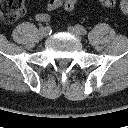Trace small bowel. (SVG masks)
<instances>
[{
  "label": "small bowel",
  "mask_w": 128,
  "mask_h": 128,
  "mask_svg": "<svg viewBox=\"0 0 128 128\" xmlns=\"http://www.w3.org/2000/svg\"><path fill=\"white\" fill-rule=\"evenodd\" d=\"M63 4V0H48L47 9L48 11H54L60 8ZM35 19L38 22H47L50 19V15L47 12H39L35 15Z\"/></svg>",
  "instance_id": "1"
}]
</instances>
